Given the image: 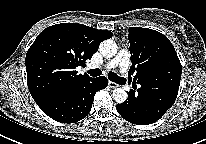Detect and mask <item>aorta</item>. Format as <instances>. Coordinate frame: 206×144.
Listing matches in <instances>:
<instances>
[{"instance_id": "obj_1", "label": "aorta", "mask_w": 206, "mask_h": 144, "mask_svg": "<svg viewBox=\"0 0 206 144\" xmlns=\"http://www.w3.org/2000/svg\"><path fill=\"white\" fill-rule=\"evenodd\" d=\"M99 50L104 57L110 58L116 55L118 47L115 41L107 39L101 42ZM112 96L117 103H124L128 97L127 92L123 88H115Z\"/></svg>"}]
</instances>
